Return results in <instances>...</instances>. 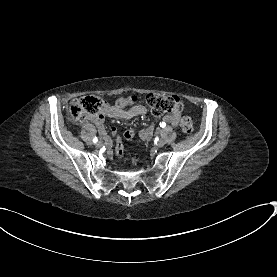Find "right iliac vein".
<instances>
[{
    "label": "right iliac vein",
    "mask_w": 277,
    "mask_h": 277,
    "mask_svg": "<svg viewBox=\"0 0 277 277\" xmlns=\"http://www.w3.org/2000/svg\"><path fill=\"white\" fill-rule=\"evenodd\" d=\"M95 146H96L97 148H101V147L103 146V143H102L101 141H98V142L95 144Z\"/></svg>",
    "instance_id": "63e3f726"
}]
</instances>
